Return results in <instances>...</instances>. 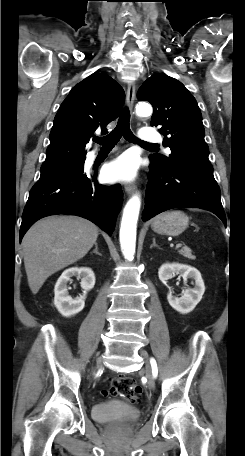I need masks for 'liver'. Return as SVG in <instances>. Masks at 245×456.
Segmentation results:
<instances>
[{"instance_id":"1","label":"liver","mask_w":245,"mask_h":456,"mask_svg":"<svg viewBox=\"0 0 245 456\" xmlns=\"http://www.w3.org/2000/svg\"><path fill=\"white\" fill-rule=\"evenodd\" d=\"M97 237V226L81 217L51 216L37 221L22 241L32 293H38L49 276L83 258Z\"/></svg>"}]
</instances>
